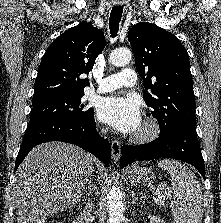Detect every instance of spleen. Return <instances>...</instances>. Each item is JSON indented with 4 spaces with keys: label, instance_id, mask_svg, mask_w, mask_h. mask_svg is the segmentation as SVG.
I'll return each instance as SVG.
<instances>
[{
    "label": "spleen",
    "instance_id": "1",
    "mask_svg": "<svg viewBox=\"0 0 221 223\" xmlns=\"http://www.w3.org/2000/svg\"><path fill=\"white\" fill-rule=\"evenodd\" d=\"M158 166L171 176L174 201L171 202L170 208L174 223H201L203 195L195 174L177 160H161Z\"/></svg>",
    "mask_w": 221,
    "mask_h": 223
}]
</instances>
